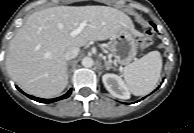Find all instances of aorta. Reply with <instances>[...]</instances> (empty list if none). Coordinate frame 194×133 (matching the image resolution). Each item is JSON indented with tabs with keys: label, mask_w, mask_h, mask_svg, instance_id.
I'll use <instances>...</instances> for the list:
<instances>
[{
	"label": "aorta",
	"mask_w": 194,
	"mask_h": 133,
	"mask_svg": "<svg viewBox=\"0 0 194 133\" xmlns=\"http://www.w3.org/2000/svg\"><path fill=\"white\" fill-rule=\"evenodd\" d=\"M82 65L86 68H90L94 65V61L90 57H85L82 59Z\"/></svg>",
	"instance_id": "obj_1"
}]
</instances>
